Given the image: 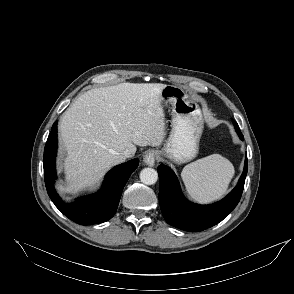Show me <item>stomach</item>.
Here are the masks:
<instances>
[{
  "label": "stomach",
  "mask_w": 294,
  "mask_h": 294,
  "mask_svg": "<svg viewBox=\"0 0 294 294\" xmlns=\"http://www.w3.org/2000/svg\"><path fill=\"white\" fill-rule=\"evenodd\" d=\"M162 107L171 105V132L162 153L177 164L192 160L198 153L203 132V116L199 105L185 92L166 85L160 93Z\"/></svg>",
  "instance_id": "stomach-1"
}]
</instances>
